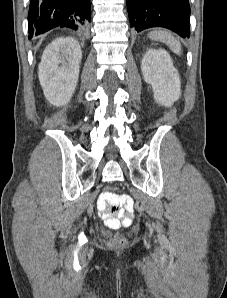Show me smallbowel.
<instances>
[{
	"label": "small bowel",
	"instance_id": "c3829d8e",
	"mask_svg": "<svg viewBox=\"0 0 227 298\" xmlns=\"http://www.w3.org/2000/svg\"><path fill=\"white\" fill-rule=\"evenodd\" d=\"M98 210H99V213L105 218V216H106L105 213H103L100 209H98ZM118 220H119V225H120V223H122L124 225H128L130 223V219L124 215V211H120V219H118Z\"/></svg>",
	"mask_w": 227,
	"mask_h": 298
}]
</instances>
